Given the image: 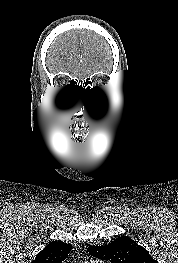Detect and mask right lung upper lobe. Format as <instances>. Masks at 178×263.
<instances>
[{"mask_svg":"<svg viewBox=\"0 0 178 263\" xmlns=\"http://www.w3.org/2000/svg\"><path fill=\"white\" fill-rule=\"evenodd\" d=\"M71 245L63 242H50L32 263H62L69 254Z\"/></svg>","mask_w":178,"mask_h":263,"instance_id":"1","label":"right lung upper lobe"}]
</instances>
